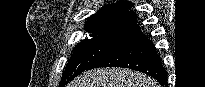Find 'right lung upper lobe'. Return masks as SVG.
Wrapping results in <instances>:
<instances>
[{
	"mask_svg": "<svg viewBox=\"0 0 205 87\" xmlns=\"http://www.w3.org/2000/svg\"><path fill=\"white\" fill-rule=\"evenodd\" d=\"M133 3L118 1L104 5L96 14L90 16L85 24L88 32L118 31L135 34L141 31L137 15L130 8Z\"/></svg>",
	"mask_w": 205,
	"mask_h": 87,
	"instance_id": "obj_1",
	"label": "right lung upper lobe"
}]
</instances>
